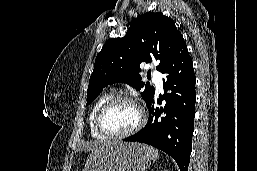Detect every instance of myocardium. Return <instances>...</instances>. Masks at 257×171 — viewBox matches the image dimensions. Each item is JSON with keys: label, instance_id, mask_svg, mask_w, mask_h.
Segmentation results:
<instances>
[{"label": "myocardium", "instance_id": "obj_1", "mask_svg": "<svg viewBox=\"0 0 257 171\" xmlns=\"http://www.w3.org/2000/svg\"><path fill=\"white\" fill-rule=\"evenodd\" d=\"M123 102H127V103H131L133 104L138 112H139V121L138 123L129 131H126L124 133H120V134H114V133H110L108 132L103 124H102V120L103 117L105 115V113L114 105L119 104V103H123ZM146 113L144 111V109L141 107V105L138 103V101L128 95H118V96H113L112 98H110L109 100H107L98 110L96 117H95V127L96 130L102 134L103 136H105L106 138H110V139H123L126 137H129L131 135L136 134L137 132H139L143 126L146 123Z\"/></svg>", "mask_w": 257, "mask_h": 171}]
</instances>
